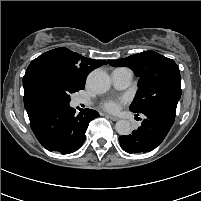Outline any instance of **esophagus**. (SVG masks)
<instances>
[{
    "instance_id": "34e87169",
    "label": "esophagus",
    "mask_w": 201,
    "mask_h": 201,
    "mask_svg": "<svg viewBox=\"0 0 201 201\" xmlns=\"http://www.w3.org/2000/svg\"><path fill=\"white\" fill-rule=\"evenodd\" d=\"M106 117L109 118L112 121H118L119 120V118L117 116H113V115H109V114L106 115Z\"/></svg>"
}]
</instances>
